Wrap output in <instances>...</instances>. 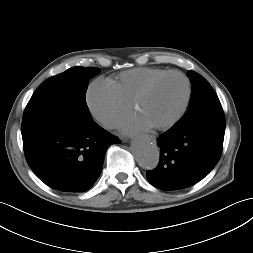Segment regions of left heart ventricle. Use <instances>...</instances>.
<instances>
[{"label":"left heart ventricle","instance_id":"1","mask_svg":"<svg viewBox=\"0 0 253 253\" xmlns=\"http://www.w3.org/2000/svg\"><path fill=\"white\" fill-rule=\"evenodd\" d=\"M186 93L182 77L171 75L159 83L135 107L152 126L168 122L180 109Z\"/></svg>","mask_w":253,"mask_h":253}]
</instances>
